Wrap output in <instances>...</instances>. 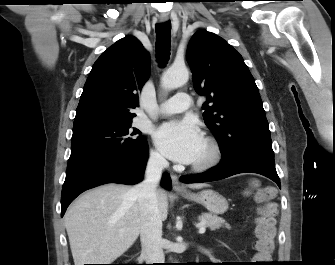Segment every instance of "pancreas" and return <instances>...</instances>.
Masks as SVG:
<instances>
[{
	"label": "pancreas",
	"mask_w": 335,
	"mask_h": 265,
	"mask_svg": "<svg viewBox=\"0 0 335 265\" xmlns=\"http://www.w3.org/2000/svg\"><path fill=\"white\" fill-rule=\"evenodd\" d=\"M199 220L201 222H204V226L205 227H209L211 230H215V229H219L220 227H222L223 225L230 229V225L228 223H226V221L214 214L211 213H203L200 217Z\"/></svg>",
	"instance_id": "1"
}]
</instances>
